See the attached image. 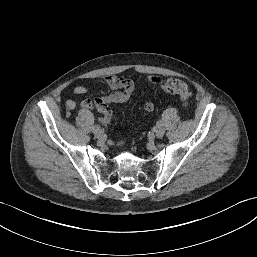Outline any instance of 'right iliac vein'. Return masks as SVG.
Returning <instances> with one entry per match:
<instances>
[{
    "instance_id": "63e3f726",
    "label": "right iliac vein",
    "mask_w": 257,
    "mask_h": 257,
    "mask_svg": "<svg viewBox=\"0 0 257 257\" xmlns=\"http://www.w3.org/2000/svg\"><path fill=\"white\" fill-rule=\"evenodd\" d=\"M94 134H95V136H96L97 138H100V137H102V136L104 135V131L101 130V129H99V130H97Z\"/></svg>"
}]
</instances>
